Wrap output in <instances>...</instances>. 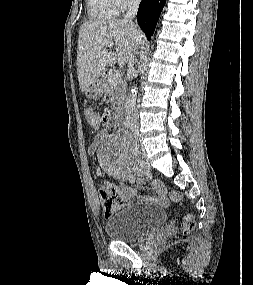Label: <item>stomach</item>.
I'll return each mask as SVG.
<instances>
[{"label":"stomach","instance_id":"1","mask_svg":"<svg viewBox=\"0 0 253 285\" xmlns=\"http://www.w3.org/2000/svg\"><path fill=\"white\" fill-rule=\"evenodd\" d=\"M103 94L102 83L97 81L93 83L91 87H88L85 91V95L89 99H97Z\"/></svg>","mask_w":253,"mask_h":285}]
</instances>
